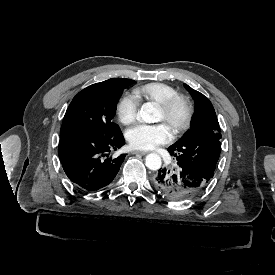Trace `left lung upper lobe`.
<instances>
[{"label":"left lung upper lobe","instance_id":"5c2ea615","mask_svg":"<svg viewBox=\"0 0 275 275\" xmlns=\"http://www.w3.org/2000/svg\"><path fill=\"white\" fill-rule=\"evenodd\" d=\"M195 102L191 129L168 150L177 164L210 180L214 176L220 156L221 134L218 119L210 100L202 93L184 84Z\"/></svg>","mask_w":275,"mask_h":275}]
</instances>
